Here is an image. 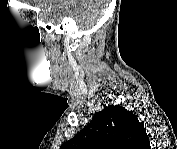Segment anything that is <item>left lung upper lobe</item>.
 <instances>
[{
  "instance_id": "5c2ea615",
  "label": "left lung upper lobe",
  "mask_w": 177,
  "mask_h": 149,
  "mask_svg": "<svg viewBox=\"0 0 177 149\" xmlns=\"http://www.w3.org/2000/svg\"><path fill=\"white\" fill-rule=\"evenodd\" d=\"M145 136V128L133 112L108 106L61 149H142Z\"/></svg>"
}]
</instances>
